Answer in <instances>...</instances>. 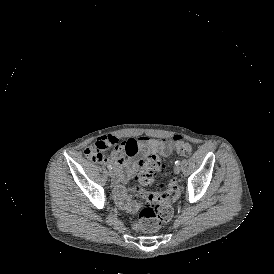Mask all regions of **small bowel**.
<instances>
[{"instance_id": "c3829d8e", "label": "small bowel", "mask_w": 274, "mask_h": 274, "mask_svg": "<svg viewBox=\"0 0 274 274\" xmlns=\"http://www.w3.org/2000/svg\"><path fill=\"white\" fill-rule=\"evenodd\" d=\"M184 141L182 136L173 139H155L148 136L128 138L120 141L114 136H103L95 143L89 145L85 154L92 162L105 166H112L113 183L119 185L132 180L141 170L144 160L152 155L165 156L176 146L178 142ZM112 147L110 154L104 151Z\"/></svg>"}]
</instances>
